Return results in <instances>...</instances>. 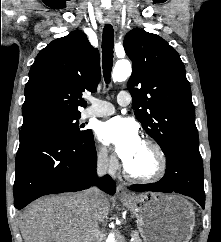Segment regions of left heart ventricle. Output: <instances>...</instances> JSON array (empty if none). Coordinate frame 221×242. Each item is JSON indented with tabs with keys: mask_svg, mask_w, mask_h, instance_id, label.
Returning a JSON list of instances; mask_svg holds the SVG:
<instances>
[{
	"mask_svg": "<svg viewBox=\"0 0 221 242\" xmlns=\"http://www.w3.org/2000/svg\"><path fill=\"white\" fill-rule=\"evenodd\" d=\"M126 164L133 172L146 174L153 170L155 160L151 149L141 143L137 152L126 162Z\"/></svg>",
	"mask_w": 221,
	"mask_h": 242,
	"instance_id": "1",
	"label": "left heart ventricle"
}]
</instances>
